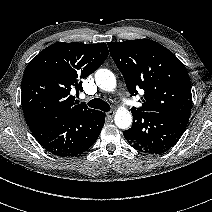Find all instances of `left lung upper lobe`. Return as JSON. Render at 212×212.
I'll use <instances>...</instances> for the list:
<instances>
[{
	"label": "left lung upper lobe",
	"instance_id": "5c2ea615",
	"mask_svg": "<svg viewBox=\"0 0 212 212\" xmlns=\"http://www.w3.org/2000/svg\"><path fill=\"white\" fill-rule=\"evenodd\" d=\"M110 55L123 74L129 93L138 94L143 105L132 114L160 112L189 117L191 83L184 64L167 48L149 39L109 42Z\"/></svg>",
	"mask_w": 212,
	"mask_h": 212
}]
</instances>
